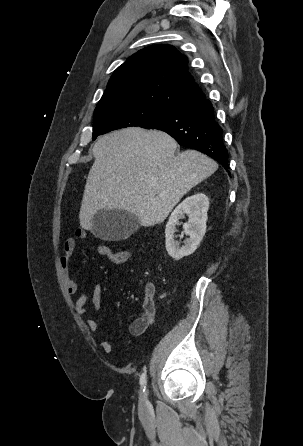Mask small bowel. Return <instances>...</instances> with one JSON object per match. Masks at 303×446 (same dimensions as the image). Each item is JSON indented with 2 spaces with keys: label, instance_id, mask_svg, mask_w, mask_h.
Wrapping results in <instances>:
<instances>
[{
  "label": "small bowel",
  "instance_id": "small-bowel-1",
  "mask_svg": "<svg viewBox=\"0 0 303 446\" xmlns=\"http://www.w3.org/2000/svg\"><path fill=\"white\" fill-rule=\"evenodd\" d=\"M75 236L78 239L86 238V231L84 229H77ZM102 243L98 244L96 249L99 252L102 248ZM76 249L75 238H67L63 244V256L60 258V266L67 291L70 294L78 293L79 287L75 280L70 276V263L72 256ZM155 290L152 285H148L145 289V298L141 306L140 313L136 319L132 321L129 326V332L133 336H139L149 328L155 320V302H154ZM102 288L99 283L93 286L91 295V306H87L88 294L86 292L79 293L75 302V310L81 315H86L91 311H96L101 305ZM87 326L92 332L99 331V324L97 321L90 319L87 321ZM127 343V342H126ZM100 347L106 353L113 351L114 346L112 342L104 340L100 343Z\"/></svg>",
  "mask_w": 303,
  "mask_h": 446
}]
</instances>
